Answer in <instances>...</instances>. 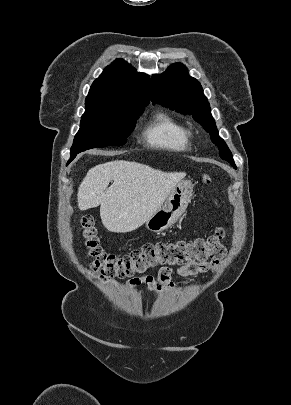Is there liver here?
I'll use <instances>...</instances> for the list:
<instances>
[{
  "label": "liver",
  "mask_w": 291,
  "mask_h": 405,
  "mask_svg": "<svg viewBox=\"0 0 291 405\" xmlns=\"http://www.w3.org/2000/svg\"><path fill=\"white\" fill-rule=\"evenodd\" d=\"M185 175L124 160L99 164L87 172L78 188V207L87 210L100 205L105 228L116 233L131 232L163 205Z\"/></svg>",
  "instance_id": "1"
}]
</instances>
